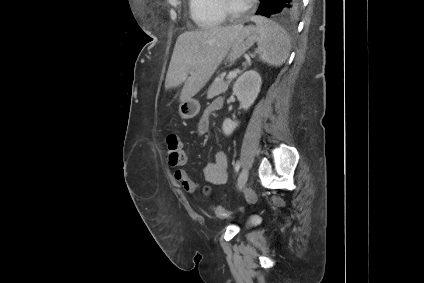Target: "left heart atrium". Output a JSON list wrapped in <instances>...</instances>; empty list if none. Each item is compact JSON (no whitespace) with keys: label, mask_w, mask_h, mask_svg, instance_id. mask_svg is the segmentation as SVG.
Masks as SVG:
<instances>
[{"label":"left heart atrium","mask_w":424,"mask_h":283,"mask_svg":"<svg viewBox=\"0 0 424 283\" xmlns=\"http://www.w3.org/2000/svg\"><path fill=\"white\" fill-rule=\"evenodd\" d=\"M241 1L244 2V3H249L252 0H241Z\"/></svg>","instance_id":"1"}]
</instances>
